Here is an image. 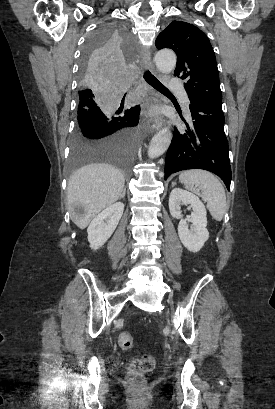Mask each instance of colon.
Returning <instances> with one entry per match:
<instances>
[{
	"label": "colon",
	"instance_id": "1",
	"mask_svg": "<svg viewBox=\"0 0 275 409\" xmlns=\"http://www.w3.org/2000/svg\"><path fill=\"white\" fill-rule=\"evenodd\" d=\"M117 343L122 349H130L134 344L133 336L130 332H122L117 339ZM155 366V360L152 355L144 354L133 359L128 367V377L132 382L141 381L148 375Z\"/></svg>",
	"mask_w": 275,
	"mask_h": 409
}]
</instances>
